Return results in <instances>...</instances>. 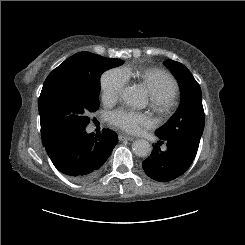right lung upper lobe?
<instances>
[{
	"instance_id": "obj_1",
	"label": "right lung upper lobe",
	"mask_w": 245,
	"mask_h": 245,
	"mask_svg": "<svg viewBox=\"0 0 245 245\" xmlns=\"http://www.w3.org/2000/svg\"><path fill=\"white\" fill-rule=\"evenodd\" d=\"M82 55V52L73 55L64 61L61 65H59L56 69H54L49 76L48 79L52 78L56 75L67 74V73H76L79 71L78 58ZM43 145L48 143L50 139H42Z\"/></svg>"
}]
</instances>
